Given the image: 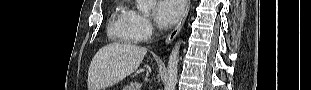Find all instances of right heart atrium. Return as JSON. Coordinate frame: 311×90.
Returning a JSON list of instances; mask_svg holds the SVG:
<instances>
[{
	"label": "right heart atrium",
	"mask_w": 311,
	"mask_h": 90,
	"mask_svg": "<svg viewBox=\"0 0 311 90\" xmlns=\"http://www.w3.org/2000/svg\"><path fill=\"white\" fill-rule=\"evenodd\" d=\"M131 25L138 40L148 39L153 32L151 20L144 14L131 10Z\"/></svg>",
	"instance_id": "right-heart-atrium-1"
}]
</instances>
